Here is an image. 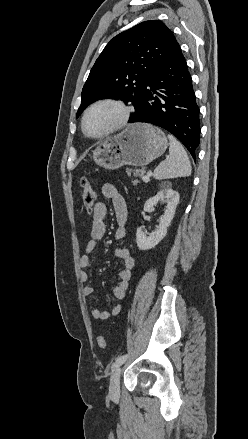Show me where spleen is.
<instances>
[{
  "instance_id": "obj_1",
  "label": "spleen",
  "mask_w": 248,
  "mask_h": 439,
  "mask_svg": "<svg viewBox=\"0 0 248 439\" xmlns=\"http://www.w3.org/2000/svg\"><path fill=\"white\" fill-rule=\"evenodd\" d=\"M170 141L169 159L161 162L154 170V178L158 180L187 177L191 175V164L181 143L172 135Z\"/></svg>"
}]
</instances>
